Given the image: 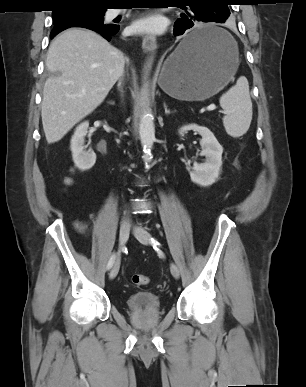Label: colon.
<instances>
[{
	"mask_svg": "<svg viewBox=\"0 0 306 387\" xmlns=\"http://www.w3.org/2000/svg\"><path fill=\"white\" fill-rule=\"evenodd\" d=\"M69 182H70V180L68 179L67 183H69ZM78 227H79V229H81L82 225L79 224ZM132 282L136 286H144V285H147L149 283V278L146 275H143V274H134L132 276Z\"/></svg>",
	"mask_w": 306,
	"mask_h": 387,
	"instance_id": "5ec220e1",
	"label": "colon"
}]
</instances>
